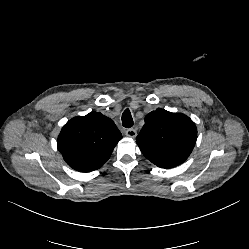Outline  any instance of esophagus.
<instances>
[{
    "label": "esophagus",
    "instance_id": "34e87169",
    "mask_svg": "<svg viewBox=\"0 0 249 249\" xmlns=\"http://www.w3.org/2000/svg\"><path fill=\"white\" fill-rule=\"evenodd\" d=\"M137 131L134 128H129L126 130L125 135L130 138H135L137 136Z\"/></svg>",
    "mask_w": 249,
    "mask_h": 249
}]
</instances>
